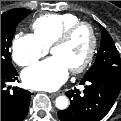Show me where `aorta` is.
Wrapping results in <instances>:
<instances>
[{
    "mask_svg": "<svg viewBox=\"0 0 121 121\" xmlns=\"http://www.w3.org/2000/svg\"><path fill=\"white\" fill-rule=\"evenodd\" d=\"M69 105V100L66 96H59L56 98V107L59 110H64L68 107Z\"/></svg>",
    "mask_w": 121,
    "mask_h": 121,
    "instance_id": "762f6f07",
    "label": "aorta"
}]
</instances>
